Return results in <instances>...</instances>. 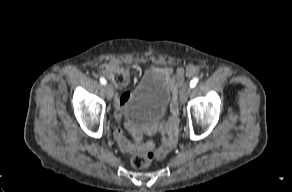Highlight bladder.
<instances>
[{
	"mask_svg": "<svg viewBox=\"0 0 292 192\" xmlns=\"http://www.w3.org/2000/svg\"><path fill=\"white\" fill-rule=\"evenodd\" d=\"M171 99L168 84L156 74H146L129 92L124 115L133 124L155 123L166 115Z\"/></svg>",
	"mask_w": 292,
	"mask_h": 192,
	"instance_id": "bladder-1",
	"label": "bladder"
}]
</instances>
